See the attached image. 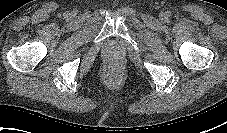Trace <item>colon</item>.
<instances>
[{
    "instance_id": "obj_1",
    "label": "colon",
    "mask_w": 227,
    "mask_h": 133,
    "mask_svg": "<svg viewBox=\"0 0 227 133\" xmlns=\"http://www.w3.org/2000/svg\"><path fill=\"white\" fill-rule=\"evenodd\" d=\"M108 70L112 73H118L120 70V67L117 64H110L108 65Z\"/></svg>"
}]
</instances>
